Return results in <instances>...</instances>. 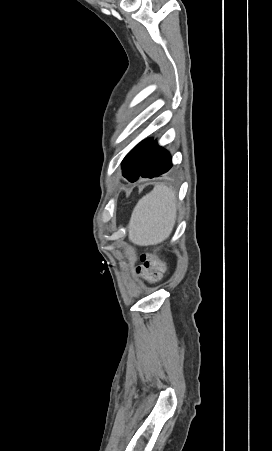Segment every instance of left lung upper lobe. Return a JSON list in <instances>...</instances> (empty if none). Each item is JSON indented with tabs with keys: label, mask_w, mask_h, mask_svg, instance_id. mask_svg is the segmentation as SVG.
Listing matches in <instances>:
<instances>
[{
	"label": "left lung upper lobe",
	"mask_w": 272,
	"mask_h": 451,
	"mask_svg": "<svg viewBox=\"0 0 272 451\" xmlns=\"http://www.w3.org/2000/svg\"><path fill=\"white\" fill-rule=\"evenodd\" d=\"M152 141L147 139L141 142L124 158L122 168L125 178H135L139 175Z\"/></svg>",
	"instance_id": "obj_1"
}]
</instances>
